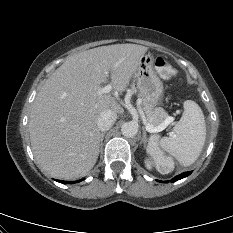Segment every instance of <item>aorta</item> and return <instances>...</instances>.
<instances>
[{"label": "aorta", "mask_w": 233, "mask_h": 233, "mask_svg": "<svg viewBox=\"0 0 233 233\" xmlns=\"http://www.w3.org/2000/svg\"><path fill=\"white\" fill-rule=\"evenodd\" d=\"M121 132L125 137H134L138 132L137 124L133 122H126L121 126Z\"/></svg>", "instance_id": "762f6f07"}]
</instances>
